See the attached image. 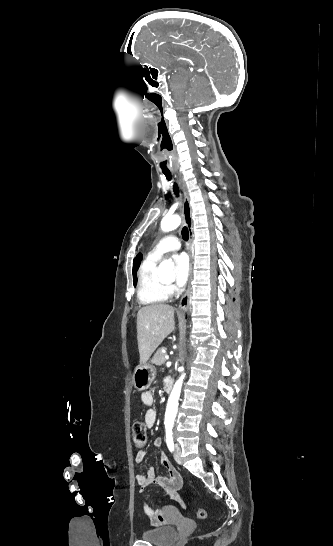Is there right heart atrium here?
I'll use <instances>...</instances> for the list:
<instances>
[{
  "instance_id": "1",
  "label": "right heart atrium",
  "mask_w": 333,
  "mask_h": 546,
  "mask_svg": "<svg viewBox=\"0 0 333 546\" xmlns=\"http://www.w3.org/2000/svg\"><path fill=\"white\" fill-rule=\"evenodd\" d=\"M168 291L171 292L173 290V287L169 286L167 287Z\"/></svg>"
}]
</instances>
